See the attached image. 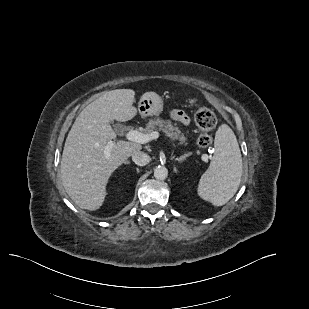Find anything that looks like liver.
Returning <instances> with one entry per match:
<instances>
[{
	"label": "liver",
	"instance_id": "1",
	"mask_svg": "<svg viewBox=\"0 0 309 309\" xmlns=\"http://www.w3.org/2000/svg\"><path fill=\"white\" fill-rule=\"evenodd\" d=\"M134 96L131 89L105 92L81 111L69 131L61 159V180L70 198L83 209L94 211L102 206L112 173L142 148L136 142H115L117 135L110 125L113 120L125 122L137 114L132 106ZM110 143V157L106 158L105 148Z\"/></svg>",
	"mask_w": 309,
	"mask_h": 309
}]
</instances>
